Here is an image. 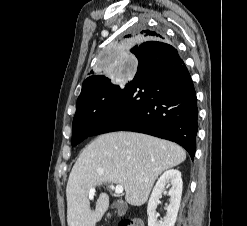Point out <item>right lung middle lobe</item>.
Returning <instances> with one entry per match:
<instances>
[{
	"label": "right lung middle lobe",
	"instance_id": "dd1d6c3e",
	"mask_svg": "<svg viewBox=\"0 0 247 226\" xmlns=\"http://www.w3.org/2000/svg\"><path fill=\"white\" fill-rule=\"evenodd\" d=\"M121 86H112L111 78H100L97 86L80 95L72 125V145L91 136L97 125L122 93Z\"/></svg>",
	"mask_w": 247,
	"mask_h": 226
}]
</instances>
